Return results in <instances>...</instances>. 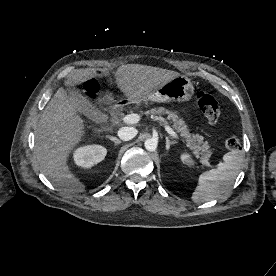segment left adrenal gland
I'll return each instance as SVG.
<instances>
[{
    "label": "left adrenal gland",
    "mask_w": 276,
    "mask_h": 276,
    "mask_svg": "<svg viewBox=\"0 0 276 276\" xmlns=\"http://www.w3.org/2000/svg\"><path fill=\"white\" fill-rule=\"evenodd\" d=\"M165 139H166V150L168 152L170 150L171 145L176 144V141H170L168 137H166Z\"/></svg>",
    "instance_id": "left-adrenal-gland-1"
}]
</instances>
